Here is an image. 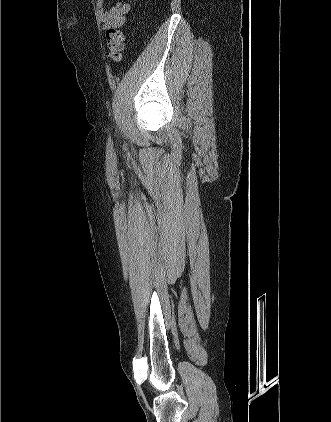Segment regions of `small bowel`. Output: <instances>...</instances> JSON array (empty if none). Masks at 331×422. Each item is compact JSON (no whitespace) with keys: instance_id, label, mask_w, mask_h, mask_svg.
Instances as JSON below:
<instances>
[{"instance_id":"c3829d8e","label":"small bowel","mask_w":331,"mask_h":422,"mask_svg":"<svg viewBox=\"0 0 331 422\" xmlns=\"http://www.w3.org/2000/svg\"><path fill=\"white\" fill-rule=\"evenodd\" d=\"M137 4V0L119 1L110 9H106L105 0H96L98 19L103 29L119 27L131 13L132 6Z\"/></svg>"}]
</instances>
